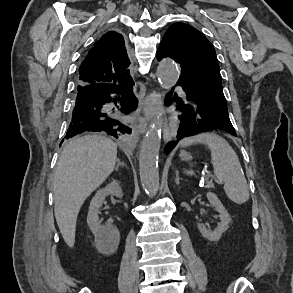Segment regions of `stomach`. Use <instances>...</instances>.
<instances>
[{
    "instance_id": "obj_1",
    "label": "stomach",
    "mask_w": 293,
    "mask_h": 293,
    "mask_svg": "<svg viewBox=\"0 0 293 293\" xmlns=\"http://www.w3.org/2000/svg\"><path fill=\"white\" fill-rule=\"evenodd\" d=\"M180 158L184 161H187V160H191V156L188 152L186 151H181L180 152Z\"/></svg>"
}]
</instances>
